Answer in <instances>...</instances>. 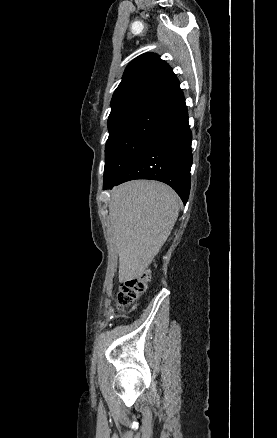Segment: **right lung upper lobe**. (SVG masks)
Instances as JSON below:
<instances>
[{
    "instance_id": "right-lung-upper-lobe-1",
    "label": "right lung upper lobe",
    "mask_w": 277,
    "mask_h": 438,
    "mask_svg": "<svg viewBox=\"0 0 277 438\" xmlns=\"http://www.w3.org/2000/svg\"><path fill=\"white\" fill-rule=\"evenodd\" d=\"M183 98L179 81L169 65L158 55L146 53L127 66L113 94L109 118L168 111Z\"/></svg>"
}]
</instances>
